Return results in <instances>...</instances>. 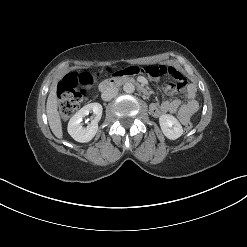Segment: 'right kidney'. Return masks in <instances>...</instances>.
Here are the masks:
<instances>
[{"label":"right kidney","mask_w":247,"mask_h":247,"mask_svg":"<svg viewBox=\"0 0 247 247\" xmlns=\"http://www.w3.org/2000/svg\"><path fill=\"white\" fill-rule=\"evenodd\" d=\"M102 106L99 103H90L83 106L78 112H76L68 123V133L77 142L86 143L93 139L98 130V122L102 116ZM90 112H93L94 119L88 126L83 127L82 120Z\"/></svg>","instance_id":"right-kidney-1"}]
</instances>
